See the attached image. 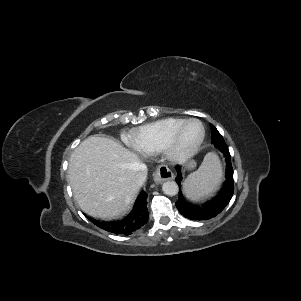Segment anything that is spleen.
<instances>
[{
    "mask_svg": "<svg viewBox=\"0 0 301 301\" xmlns=\"http://www.w3.org/2000/svg\"><path fill=\"white\" fill-rule=\"evenodd\" d=\"M222 180V167L218 156L210 152L206 154L199 169L190 174L184 182L186 196L198 201L211 195Z\"/></svg>",
    "mask_w": 301,
    "mask_h": 301,
    "instance_id": "3e777b00",
    "label": "spleen"
}]
</instances>
